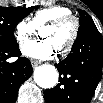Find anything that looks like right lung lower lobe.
I'll use <instances>...</instances> for the list:
<instances>
[{
  "instance_id": "1",
  "label": "right lung lower lobe",
  "mask_w": 103,
  "mask_h": 103,
  "mask_svg": "<svg viewBox=\"0 0 103 103\" xmlns=\"http://www.w3.org/2000/svg\"><path fill=\"white\" fill-rule=\"evenodd\" d=\"M10 57H18L7 62ZM33 69L27 58L21 57L19 45L13 47L0 46V103H14L19 87L32 74Z\"/></svg>"
}]
</instances>
